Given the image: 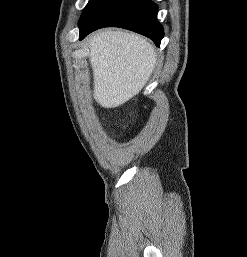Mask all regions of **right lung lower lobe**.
Masks as SVG:
<instances>
[{"label": "right lung lower lobe", "mask_w": 247, "mask_h": 257, "mask_svg": "<svg viewBox=\"0 0 247 257\" xmlns=\"http://www.w3.org/2000/svg\"><path fill=\"white\" fill-rule=\"evenodd\" d=\"M151 0H96L79 21L80 40L103 27H121L152 39L157 46L164 36Z\"/></svg>", "instance_id": "right-lung-lower-lobe-1"}]
</instances>
